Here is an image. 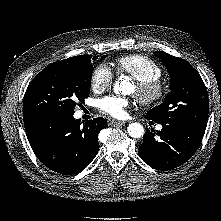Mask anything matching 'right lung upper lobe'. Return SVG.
I'll use <instances>...</instances> for the list:
<instances>
[{"label": "right lung upper lobe", "mask_w": 221, "mask_h": 221, "mask_svg": "<svg viewBox=\"0 0 221 221\" xmlns=\"http://www.w3.org/2000/svg\"><path fill=\"white\" fill-rule=\"evenodd\" d=\"M87 55H80V56H76V57H71L68 59H65L63 61L70 63V64H81L83 63V61L86 59Z\"/></svg>", "instance_id": "cb5924a9"}]
</instances>
